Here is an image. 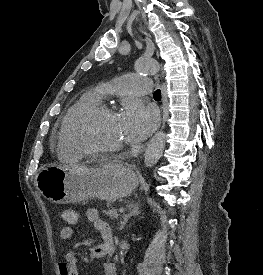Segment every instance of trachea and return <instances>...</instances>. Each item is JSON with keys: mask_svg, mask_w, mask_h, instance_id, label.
Returning a JSON list of instances; mask_svg holds the SVG:
<instances>
[{"mask_svg": "<svg viewBox=\"0 0 263 275\" xmlns=\"http://www.w3.org/2000/svg\"><path fill=\"white\" fill-rule=\"evenodd\" d=\"M155 99H161V91L158 89L154 92Z\"/></svg>", "mask_w": 263, "mask_h": 275, "instance_id": "1", "label": "trachea"}]
</instances>
